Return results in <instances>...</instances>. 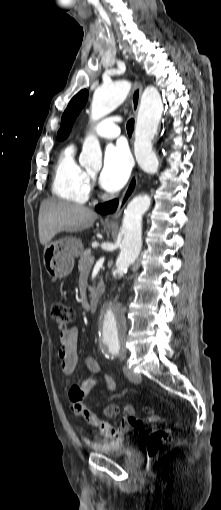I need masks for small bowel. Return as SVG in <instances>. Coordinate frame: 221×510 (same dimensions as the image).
<instances>
[{
    "label": "small bowel",
    "instance_id": "1",
    "mask_svg": "<svg viewBox=\"0 0 221 510\" xmlns=\"http://www.w3.org/2000/svg\"><path fill=\"white\" fill-rule=\"evenodd\" d=\"M77 340H78V329L76 327H72L66 332H63L60 336V346L58 349V358L60 361V368L63 376L67 377L71 375L76 367L77 363ZM85 365L87 369L94 375L100 374V366L98 361L93 355H88L85 358ZM103 386L107 391H111L114 388V383L108 376H103ZM93 387V381L91 379H82L78 381L75 385L71 387L68 393L70 408L74 415L83 416V410L86 406L83 404V398L80 395V391L83 390L85 395L91 390ZM111 408H115L117 410V415L119 413L118 406H111ZM147 412L151 413V409L147 408ZM124 412L127 416L134 415L135 410L132 406H126L124 408ZM114 415V416H115ZM106 429L101 430L107 438L109 439H117L124 435L131 429V425L124 418L121 420L120 425L118 427H114L111 424L105 422Z\"/></svg>",
    "mask_w": 221,
    "mask_h": 510
}]
</instances>
